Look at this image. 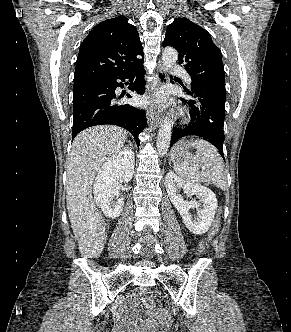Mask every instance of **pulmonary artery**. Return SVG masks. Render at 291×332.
<instances>
[{"label": "pulmonary artery", "mask_w": 291, "mask_h": 332, "mask_svg": "<svg viewBox=\"0 0 291 332\" xmlns=\"http://www.w3.org/2000/svg\"><path fill=\"white\" fill-rule=\"evenodd\" d=\"M173 71L179 75L184 76L185 80L188 83H191V77L187 74V72L181 66H174Z\"/></svg>", "instance_id": "pulmonary-artery-1"}]
</instances>
